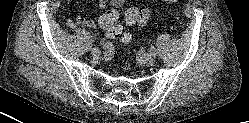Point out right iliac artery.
<instances>
[{
    "mask_svg": "<svg viewBox=\"0 0 249 123\" xmlns=\"http://www.w3.org/2000/svg\"><path fill=\"white\" fill-rule=\"evenodd\" d=\"M103 48H104L105 51H109V50H111V44L106 43Z\"/></svg>",
    "mask_w": 249,
    "mask_h": 123,
    "instance_id": "1",
    "label": "right iliac artery"
}]
</instances>
